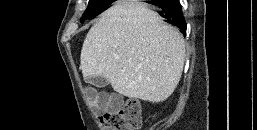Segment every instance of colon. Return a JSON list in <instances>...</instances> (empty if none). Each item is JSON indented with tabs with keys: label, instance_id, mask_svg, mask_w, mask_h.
Returning <instances> with one entry per match:
<instances>
[{
	"label": "colon",
	"instance_id": "obj_1",
	"mask_svg": "<svg viewBox=\"0 0 257 130\" xmlns=\"http://www.w3.org/2000/svg\"><path fill=\"white\" fill-rule=\"evenodd\" d=\"M100 120L108 130L138 129L142 124L140 103L136 99H127L121 106L105 111Z\"/></svg>",
	"mask_w": 257,
	"mask_h": 130
}]
</instances>
